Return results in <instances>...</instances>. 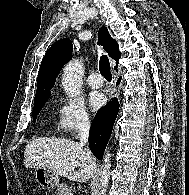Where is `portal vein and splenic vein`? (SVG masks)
Instances as JSON below:
<instances>
[{
	"label": "portal vein and splenic vein",
	"instance_id": "18ae733b",
	"mask_svg": "<svg viewBox=\"0 0 189 195\" xmlns=\"http://www.w3.org/2000/svg\"><path fill=\"white\" fill-rule=\"evenodd\" d=\"M68 195H73L72 193H68Z\"/></svg>",
	"mask_w": 189,
	"mask_h": 195
}]
</instances>
